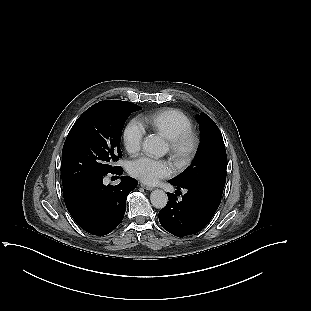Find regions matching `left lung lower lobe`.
I'll return each instance as SVG.
<instances>
[{"label":"left lung lower lobe","instance_id":"left-lung-lower-lobe-1","mask_svg":"<svg viewBox=\"0 0 311 311\" xmlns=\"http://www.w3.org/2000/svg\"><path fill=\"white\" fill-rule=\"evenodd\" d=\"M169 183L176 186V195L181 188L188 191L182 196V200H178L172 193H167L169 201L159 212L161 225L178 237L199 232L213 217L221 198L201 188L180 186L171 180Z\"/></svg>","mask_w":311,"mask_h":311}]
</instances>
